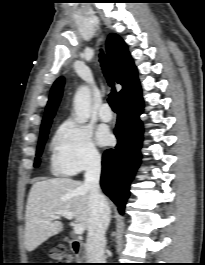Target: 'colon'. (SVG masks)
Instances as JSON below:
<instances>
[{"label": "colon", "instance_id": "colon-1", "mask_svg": "<svg viewBox=\"0 0 205 265\" xmlns=\"http://www.w3.org/2000/svg\"><path fill=\"white\" fill-rule=\"evenodd\" d=\"M51 257L60 262H65L69 259V254L65 248L59 247L51 251Z\"/></svg>", "mask_w": 205, "mask_h": 265}]
</instances>
